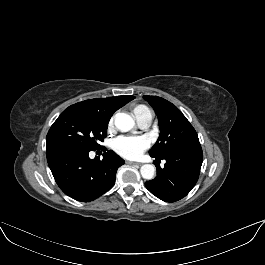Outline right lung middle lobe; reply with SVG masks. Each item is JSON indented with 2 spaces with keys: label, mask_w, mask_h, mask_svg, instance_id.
Listing matches in <instances>:
<instances>
[{
  "label": "right lung middle lobe",
  "mask_w": 265,
  "mask_h": 265,
  "mask_svg": "<svg viewBox=\"0 0 265 265\" xmlns=\"http://www.w3.org/2000/svg\"><path fill=\"white\" fill-rule=\"evenodd\" d=\"M109 120L96 112L67 108L53 123L46 137V150L72 148L96 150L106 137Z\"/></svg>",
  "instance_id": "1"
}]
</instances>
